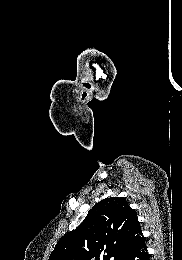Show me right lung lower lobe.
I'll return each mask as SVG.
<instances>
[{"mask_svg":"<svg viewBox=\"0 0 182 260\" xmlns=\"http://www.w3.org/2000/svg\"><path fill=\"white\" fill-rule=\"evenodd\" d=\"M121 260H149L145 241L140 243L136 248L128 252Z\"/></svg>","mask_w":182,"mask_h":260,"instance_id":"obj_1","label":"right lung lower lobe"}]
</instances>
